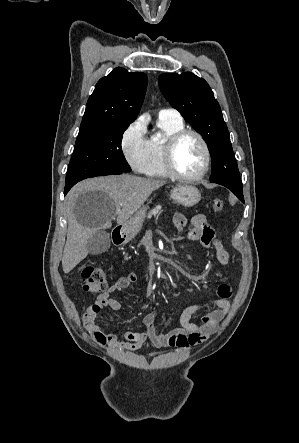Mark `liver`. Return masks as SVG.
I'll return each mask as SVG.
<instances>
[{
    "mask_svg": "<svg viewBox=\"0 0 299 443\" xmlns=\"http://www.w3.org/2000/svg\"><path fill=\"white\" fill-rule=\"evenodd\" d=\"M166 182L129 174L92 178L77 184L67 196L68 229L62 257L69 273L89 253L91 236L117 224L124 225L155 190ZM120 210V213L117 211Z\"/></svg>",
    "mask_w": 299,
    "mask_h": 443,
    "instance_id": "6515ba94",
    "label": "liver"
}]
</instances>
